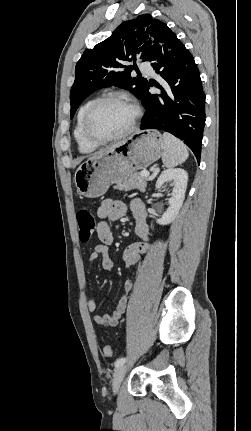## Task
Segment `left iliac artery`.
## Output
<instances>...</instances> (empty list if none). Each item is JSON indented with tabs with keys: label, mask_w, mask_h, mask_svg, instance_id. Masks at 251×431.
I'll return each instance as SVG.
<instances>
[{
	"label": "left iliac artery",
	"mask_w": 251,
	"mask_h": 431,
	"mask_svg": "<svg viewBox=\"0 0 251 431\" xmlns=\"http://www.w3.org/2000/svg\"><path fill=\"white\" fill-rule=\"evenodd\" d=\"M125 361H126V358H124V357L117 359L115 361V367H119L120 365H123L125 363Z\"/></svg>",
	"instance_id": "1"
}]
</instances>
